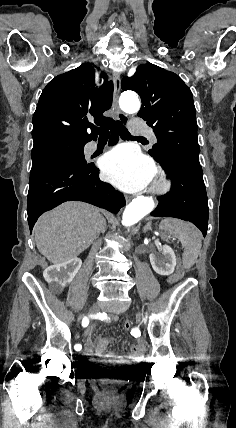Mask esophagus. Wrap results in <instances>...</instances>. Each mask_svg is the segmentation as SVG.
<instances>
[{
  "instance_id": "obj_1",
  "label": "esophagus",
  "mask_w": 236,
  "mask_h": 428,
  "mask_svg": "<svg viewBox=\"0 0 236 428\" xmlns=\"http://www.w3.org/2000/svg\"><path fill=\"white\" fill-rule=\"evenodd\" d=\"M113 81H114V96H113V109L116 111L117 113V117L119 122H121L123 125H127L128 124V116L122 112L118 106V98H119V94H120V89H121V79H120V75L117 72L113 73Z\"/></svg>"
}]
</instances>
